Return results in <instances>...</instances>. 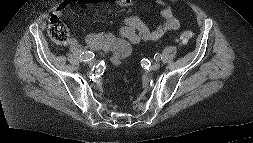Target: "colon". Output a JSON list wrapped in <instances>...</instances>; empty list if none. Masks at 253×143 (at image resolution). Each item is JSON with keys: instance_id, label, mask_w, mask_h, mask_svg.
<instances>
[{"instance_id": "obj_1", "label": "colon", "mask_w": 253, "mask_h": 143, "mask_svg": "<svg viewBox=\"0 0 253 143\" xmlns=\"http://www.w3.org/2000/svg\"><path fill=\"white\" fill-rule=\"evenodd\" d=\"M48 35L57 45H65L69 41V32L66 25L55 15L51 16L48 23ZM192 38L191 32H182L177 42L180 45L187 44Z\"/></svg>"}]
</instances>
